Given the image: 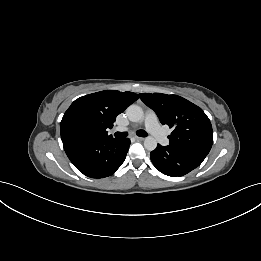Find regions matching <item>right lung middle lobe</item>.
Returning a JSON list of instances; mask_svg holds the SVG:
<instances>
[{"mask_svg":"<svg viewBox=\"0 0 261 261\" xmlns=\"http://www.w3.org/2000/svg\"><path fill=\"white\" fill-rule=\"evenodd\" d=\"M89 135L88 128L81 123L71 125L64 133V137L68 140L88 139Z\"/></svg>","mask_w":261,"mask_h":261,"instance_id":"right-lung-middle-lobe-1","label":"right lung middle lobe"}]
</instances>
